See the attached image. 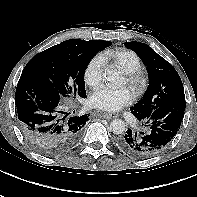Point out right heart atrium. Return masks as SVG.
<instances>
[{
    "mask_svg": "<svg viewBox=\"0 0 197 197\" xmlns=\"http://www.w3.org/2000/svg\"><path fill=\"white\" fill-rule=\"evenodd\" d=\"M104 60L101 56L93 57L84 69V81L91 87L96 88L102 81Z\"/></svg>",
    "mask_w": 197,
    "mask_h": 197,
    "instance_id": "right-heart-atrium-1",
    "label": "right heart atrium"
}]
</instances>
